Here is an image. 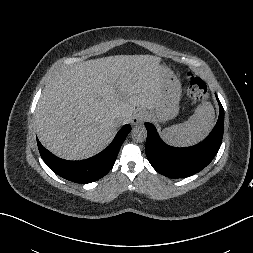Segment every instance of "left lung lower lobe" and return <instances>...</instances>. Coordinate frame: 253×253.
I'll use <instances>...</instances> for the list:
<instances>
[{
    "label": "left lung lower lobe",
    "instance_id": "1",
    "mask_svg": "<svg viewBox=\"0 0 253 253\" xmlns=\"http://www.w3.org/2000/svg\"><path fill=\"white\" fill-rule=\"evenodd\" d=\"M219 104L218 121L208 137L198 145L189 148H174L166 145L160 138L154 125L145 123L147 139L145 152L153 168L169 177L181 178L200 172L218 152L224 130V109Z\"/></svg>",
    "mask_w": 253,
    "mask_h": 253
}]
</instances>
